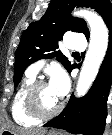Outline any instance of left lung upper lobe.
<instances>
[{"instance_id":"left-lung-upper-lobe-1","label":"left lung upper lobe","mask_w":112,"mask_h":135,"mask_svg":"<svg viewBox=\"0 0 112 135\" xmlns=\"http://www.w3.org/2000/svg\"><path fill=\"white\" fill-rule=\"evenodd\" d=\"M75 7L95 9L105 23L112 18V3L109 0H52L44 16L31 23L23 32L15 54L14 86L22 79L25 69L41 58L57 56L63 66L70 72L75 64L60 52L58 41L66 31L81 32L89 39V30L83 19L74 18L70 12Z\"/></svg>"}]
</instances>
